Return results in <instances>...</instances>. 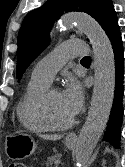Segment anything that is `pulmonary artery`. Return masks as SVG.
I'll return each mask as SVG.
<instances>
[{
    "instance_id": "e3ab8cb5",
    "label": "pulmonary artery",
    "mask_w": 125,
    "mask_h": 167,
    "mask_svg": "<svg viewBox=\"0 0 125 167\" xmlns=\"http://www.w3.org/2000/svg\"><path fill=\"white\" fill-rule=\"evenodd\" d=\"M87 54V43L84 40L77 39L63 42L36 64L32 71V77L50 84L54 75L69 59L86 56Z\"/></svg>"
}]
</instances>
